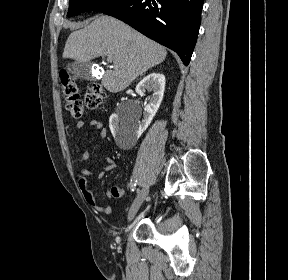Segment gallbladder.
Instances as JSON below:
<instances>
[{
    "label": "gallbladder",
    "instance_id": "gallbladder-1",
    "mask_svg": "<svg viewBox=\"0 0 288 280\" xmlns=\"http://www.w3.org/2000/svg\"><path fill=\"white\" fill-rule=\"evenodd\" d=\"M92 64L90 62H72L67 64L66 69L68 73L74 75L77 78L87 79L91 78L90 68Z\"/></svg>",
    "mask_w": 288,
    "mask_h": 280
}]
</instances>
